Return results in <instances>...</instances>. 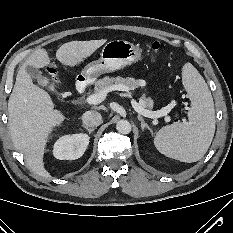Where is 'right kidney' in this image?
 I'll list each match as a JSON object with an SVG mask.
<instances>
[{
	"mask_svg": "<svg viewBox=\"0 0 233 233\" xmlns=\"http://www.w3.org/2000/svg\"><path fill=\"white\" fill-rule=\"evenodd\" d=\"M88 144L89 136L87 134L66 135L55 142L53 154L59 160H75L84 154Z\"/></svg>",
	"mask_w": 233,
	"mask_h": 233,
	"instance_id": "obj_1",
	"label": "right kidney"
}]
</instances>
